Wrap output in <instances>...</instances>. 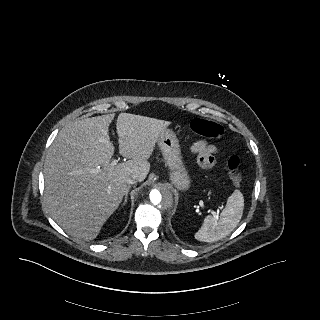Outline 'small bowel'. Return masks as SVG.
Masks as SVG:
<instances>
[{"label": "small bowel", "instance_id": "c3829d8e", "mask_svg": "<svg viewBox=\"0 0 320 320\" xmlns=\"http://www.w3.org/2000/svg\"><path fill=\"white\" fill-rule=\"evenodd\" d=\"M190 151L197 156L201 167L208 169L215 165L218 148L214 144L199 140L191 146Z\"/></svg>", "mask_w": 320, "mask_h": 320}]
</instances>
